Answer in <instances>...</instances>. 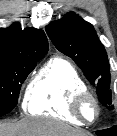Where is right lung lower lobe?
<instances>
[{
	"label": "right lung lower lobe",
	"mask_w": 117,
	"mask_h": 136,
	"mask_svg": "<svg viewBox=\"0 0 117 136\" xmlns=\"http://www.w3.org/2000/svg\"><path fill=\"white\" fill-rule=\"evenodd\" d=\"M11 111V109H0V117L9 113Z\"/></svg>",
	"instance_id": "right-lung-lower-lobe-1"
}]
</instances>
